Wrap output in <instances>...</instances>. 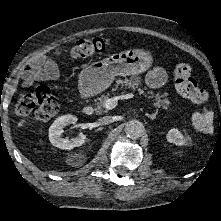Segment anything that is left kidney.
<instances>
[{"label": "left kidney", "mask_w": 221, "mask_h": 221, "mask_svg": "<svg viewBox=\"0 0 221 221\" xmlns=\"http://www.w3.org/2000/svg\"><path fill=\"white\" fill-rule=\"evenodd\" d=\"M167 141L170 143H174L177 146H183L190 140L189 137H184L178 129L169 130L166 135Z\"/></svg>", "instance_id": "1"}]
</instances>
